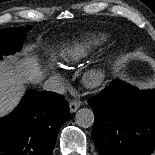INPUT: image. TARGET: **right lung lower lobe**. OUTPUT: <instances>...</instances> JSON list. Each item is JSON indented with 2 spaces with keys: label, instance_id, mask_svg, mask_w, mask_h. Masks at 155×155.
Here are the masks:
<instances>
[{
  "label": "right lung lower lobe",
  "instance_id": "98d812e1",
  "mask_svg": "<svg viewBox=\"0 0 155 155\" xmlns=\"http://www.w3.org/2000/svg\"><path fill=\"white\" fill-rule=\"evenodd\" d=\"M69 118L63 96L26 91L18 107L0 118V155H51L58 131Z\"/></svg>",
  "mask_w": 155,
  "mask_h": 155
}]
</instances>
